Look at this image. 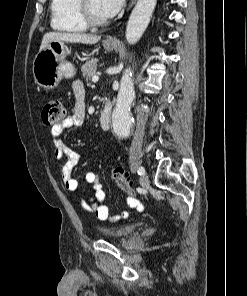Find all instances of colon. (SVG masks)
Returning a JSON list of instances; mask_svg holds the SVG:
<instances>
[{
    "mask_svg": "<svg viewBox=\"0 0 247 296\" xmlns=\"http://www.w3.org/2000/svg\"><path fill=\"white\" fill-rule=\"evenodd\" d=\"M65 116L66 109L63 103L58 99L49 100L42 110V120L46 125H58L64 121ZM111 177L123 192L128 195L135 194V191L129 183L122 168H115L111 173Z\"/></svg>",
    "mask_w": 247,
    "mask_h": 296,
    "instance_id": "colon-1",
    "label": "colon"
}]
</instances>
